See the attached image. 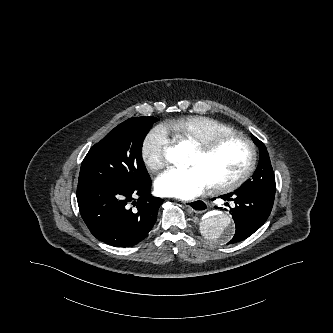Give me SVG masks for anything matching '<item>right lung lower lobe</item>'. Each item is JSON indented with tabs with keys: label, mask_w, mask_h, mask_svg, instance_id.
Listing matches in <instances>:
<instances>
[{
	"label": "right lung lower lobe",
	"mask_w": 333,
	"mask_h": 333,
	"mask_svg": "<svg viewBox=\"0 0 333 333\" xmlns=\"http://www.w3.org/2000/svg\"><path fill=\"white\" fill-rule=\"evenodd\" d=\"M150 190L149 176L134 186L120 182L79 185L77 201L80 214L98 240L112 246L136 245L152 229L163 203L162 199L152 196Z\"/></svg>",
	"instance_id": "1"
}]
</instances>
